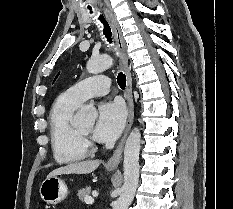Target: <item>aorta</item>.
<instances>
[{"instance_id": "aorta-1", "label": "aorta", "mask_w": 233, "mask_h": 209, "mask_svg": "<svg viewBox=\"0 0 233 209\" xmlns=\"http://www.w3.org/2000/svg\"><path fill=\"white\" fill-rule=\"evenodd\" d=\"M113 59L109 55L91 58L87 62V71L98 74L110 68ZM97 117L96 109L92 106L82 107L75 116V124L81 126L93 125ZM141 144V133L134 128L129 134L124 148V184L121 195L115 201L113 209H128L134 199L139 181V152Z\"/></svg>"}]
</instances>
